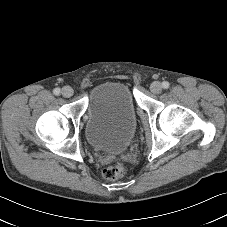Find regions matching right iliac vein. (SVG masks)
<instances>
[{
	"label": "right iliac vein",
	"instance_id": "63e3f726",
	"mask_svg": "<svg viewBox=\"0 0 227 227\" xmlns=\"http://www.w3.org/2000/svg\"><path fill=\"white\" fill-rule=\"evenodd\" d=\"M61 93H62V95L64 97L69 98V97H71L73 95L74 91H73L72 87H70V86H64L62 88V92Z\"/></svg>",
	"mask_w": 227,
	"mask_h": 227
}]
</instances>
